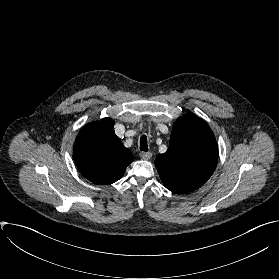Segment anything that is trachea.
Listing matches in <instances>:
<instances>
[{
  "label": "trachea",
  "mask_w": 279,
  "mask_h": 279,
  "mask_svg": "<svg viewBox=\"0 0 279 279\" xmlns=\"http://www.w3.org/2000/svg\"><path fill=\"white\" fill-rule=\"evenodd\" d=\"M140 150L147 152L148 151V144H147V137L146 135H142L140 138Z\"/></svg>",
  "instance_id": "obj_1"
}]
</instances>
